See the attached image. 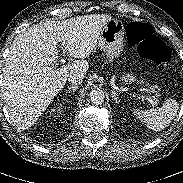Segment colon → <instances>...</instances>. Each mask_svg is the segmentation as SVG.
<instances>
[{
	"label": "colon",
	"instance_id": "1",
	"mask_svg": "<svg viewBox=\"0 0 183 183\" xmlns=\"http://www.w3.org/2000/svg\"><path fill=\"white\" fill-rule=\"evenodd\" d=\"M126 36L130 45L135 46L143 58L154 62L163 69L170 65L171 53L169 47L153 35L149 24L142 22L128 24Z\"/></svg>",
	"mask_w": 183,
	"mask_h": 183
}]
</instances>
